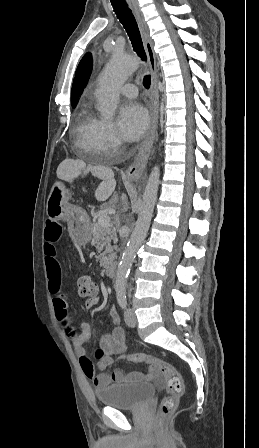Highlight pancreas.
I'll use <instances>...</instances> for the list:
<instances>
[{
    "label": "pancreas",
    "mask_w": 259,
    "mask_h": 448,
    "mask_svg": "<svg viewBox=\"0 0 259 448\" xmlns=\"http://www.w3.org/2000/svg\"><path fill=\"white\" fill-rule=\"evenodd\" d=\"M93 226V240L96 244L95 248L98 252H102L100 256H96L97 262L100 260V266L103 268H109L110 264H112L113 260L117 258V246H111V242H117V232L113 230V228H102L99 224H92Z\"/></svg>",
    "instance_id": "obj_1"
}]
</instances>
